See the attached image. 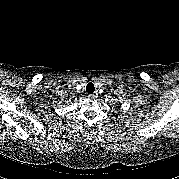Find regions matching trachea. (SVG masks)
I'll return each instance as SVG.
<instances>
[{
	"label": "trachea",
	"instance_id": "3493384b",
	"mask_svg": "<svg viewBox=\"0 0 179 179\" xmlns=\"http://www.w3.org/2000/svg\"><path fill=\"white\" fill-rule=\"evenodd\" d=\"M94 91H95L94 84L92 82L88 83L86 86V92L89 94H92V93H94Z\"/></svg>",
	"mask_w": 179,
	"mask_h": 179
}]
</instances>
